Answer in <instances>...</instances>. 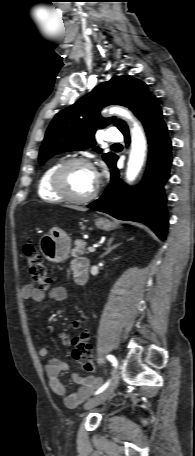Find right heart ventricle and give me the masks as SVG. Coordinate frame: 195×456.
I'll list each match as a JSON object with an SVG mask.
<instances>
[{
  "label": "right heart ventricle",
  "instance_id": "1",
  "mask_svg": "<svg viewBox=\"0 0 195 456\" xmlns=\"http://www.w3.org/2000/svg\"><path fill=\"white\" fill-rule=\"evenodd\" d=\"M59 165V162H54L50 164L42 172L37 185V191L40 198L45 201L58 202L62 198L58 196L51 187V176L55 168Z\"/></svg>",
  "mask_w": 195,
  "mask_h": 456
}]
</instances>
